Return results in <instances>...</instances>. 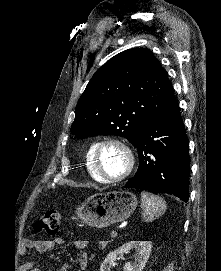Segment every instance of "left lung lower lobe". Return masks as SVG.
<instances>
[{
  "instance_id": "0a47b994",
  "label": "left lung lower lobe",
  "mask_w": 221,
  "mask_h": 271,
  "mask_svg": "<svg viewBox=\"0 0 221 271\" xmlns=\"http://www.w3.org/2000/svg\"><path fill=\"white\" fill-rule=\"evenodd\" d=\"M133 145L139 154V167L125 188L169 193L187 202L188 137L176 100L162 115L145 124Z\"/></svg>"
}]
</instances>
